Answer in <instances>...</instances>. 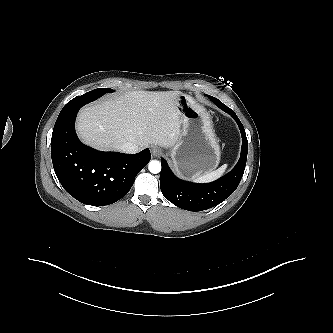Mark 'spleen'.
I'll return each mask as SVG.
<instances>
[{
  "label": "spleen",
  "mask_w": 333,
  "mask_h": 333,
  "mask_svg": "<svg viewBox=\"0 0 333 333\" xmlns=\"http://www.w3.org/2000/svg\"><path fill=\"white\" fill-rule=\"evenodd\" d=\"M227 167H228V165L224 164L223 166H221L217 170H214V171H211V172H208L206 174H203V175H200V176L196 177L194 179V182L208 183V182L214 181V180L218 179L219 177H221L224 174Z\"/></svg>",
  "instance_id": "1"
}]
</instances>
